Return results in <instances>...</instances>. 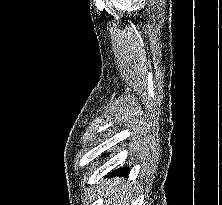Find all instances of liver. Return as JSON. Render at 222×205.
<instances>
[{
    "instance_id": "6515ba94",
    "label": "liver",
    "mask_w": 222,
    "mask_h": 205,
    "mask_svg": "<svg viewBox=\"0 0 222 205\" xmlns=\"http://www.w3.org/2000/svg\"><path fill=\"white\" fill-rule=\"evenodd\" d=\"M131 190L130 183L117 177L103 181L99 187V194L101 198L105 197L104 205H129Z\"/></svg>"
}]
</instances>
